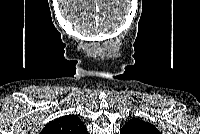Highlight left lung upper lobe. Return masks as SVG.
<instances>
[{
	"mask_svg": "<svg viewBox=\"0 0 200 134\" xmlns=\"http://www.w3.org/2000/svg\"><path fill=\"white\" fill-rule=\"evenodd\" d=\"M120 134H160V132L148 122L132 119L122 127Z\"/></svg>",
	"mask_w": 200,
	"mask_h": 134,
	"instance_id": "obj_1",
	"label": "left lung upper lobe"
}]
</instances>
